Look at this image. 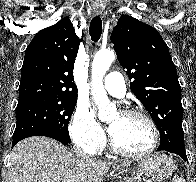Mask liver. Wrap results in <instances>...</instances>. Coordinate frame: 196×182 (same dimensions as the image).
Listing matches in <instances>:
<instances>
[{
  "label": "liver",
  "instance_id": "liver-1",
  "mask_svg": "<svg viewBox=\"0 0 196 182\" xmlns=\"http://www.w3.org/2000/svg\"><path fill=\"white\" fill-rule=\"evenodd\" d=\"M111 165L116 166L74 155L54 139L33 136L13 148L8 175L9 182H102Z\"/></svg>",
  "mask_w": 196,
  "mask_h": 182
}]
</instances>
